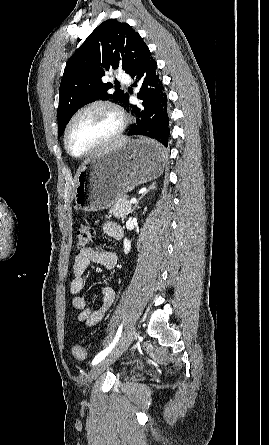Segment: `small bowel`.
<instances>
[{"instance_id":"c3829d8e","label":"small bowel","mask_w":269,"mask_h":445,"mask_svg":"<svg viewBox=\"0 0 269 445\" xmlns=\"http://www.w3.org/2000/svg\"><path fill=\"white\" fill-rule=\"evenodd\" d=\"M103 231L113 239H121L123 231L116 222H106L103 225ZM118 257L115 252L101 251L94 248H85L81 250L74 259L73 279L70 282L69 290L72 294V306L78 310L77 319L87 326H93L100 322L105 313L109 310L115 300V291L111 287H104L101 290L102 305L94 310L88 306L81 292L85 285V273L90 263H97L109 270H116Z\"/></svg>"}]
</instances>
